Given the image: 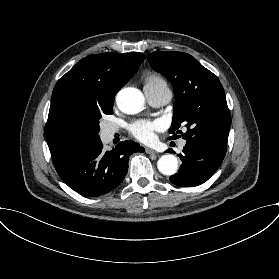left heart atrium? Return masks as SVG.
<instances>
[{
  "instance_id": "39dd6f15",
  "label": "left heart atrium",
  "mask_w": 279,
  "mask_h": 279,
  "mask_svg": "<svg viewBox=\"0 0 279 279\" xmlns=\"http://www.w3.org/2000/svg\"><path fill=\"white\" fill-rule=\"evenodd\" d=\"M159 128L157 122L137 120L129 126L130 133L142 142H149L154 137V132Z\"/></svg>"
}]
</instances>
